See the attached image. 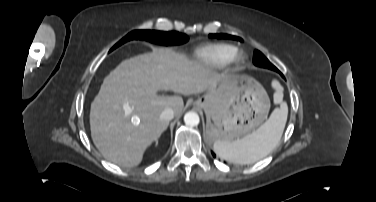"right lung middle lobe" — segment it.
<instances>
[{
  "instance_id": "1",
  "label": "right lung middle lobe",
  "mask_w": 376,
  "mask_h": 202,
  "mask_svg": "<svg viewBox=\"0 0 376 202\" xmlns=\"http://www.w3.org/2000/svg\"><path fill=\"white\" fill-rule=\"evenodd\" d=\"M133 39L147 40L163 45H179L188 41L187 35L176 31L163 32L155 30H135L120 40L110 51Z\"/></svg>"
}]
</instances>
